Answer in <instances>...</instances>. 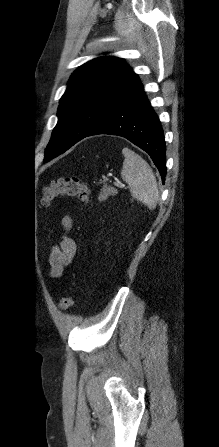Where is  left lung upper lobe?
<instances>
[{"label": "left lung upper lobe", "mask_w": 219, "mask_h": 447, "mask_svg": "<svg viewBox=\"0 0 219 447\" xmlns=\"http://www.w3.org/2000/svg\"><path fill=\"white\" fill-rule=\"evenodd\" d=\"M138 80L122 59L101 57L79 67L60 99L55 126L45 150L48 161L83 139Z\"/></svg>", "instance_id": "1"}]
</instances>
